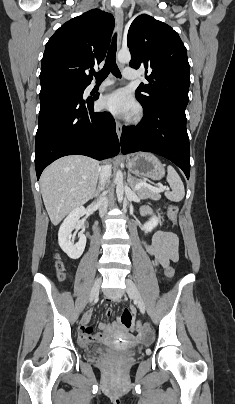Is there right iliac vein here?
Listing matches in <instances>:
<instances>
[{
  "label": "right iliac vein",
  "instance_id": "right-iliac-vein-1",
  "mask_svg": "<svg viewBox=\"0 0 235 404\" xmlns=\"http://www.w3.org/2000/svg\"><path fill=\"white\" fill-rule=\"evenodd\" d=\"M100 284H101V278H97V280L95 281L94 286L91 290L90 299H89L90 303H92L94 301V299H96L98 297Z\"/></svg>",
  "mask_w": 235,
  "mask_h": 404
}]
</instances>
